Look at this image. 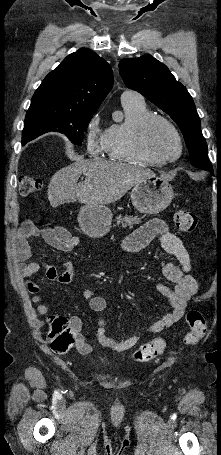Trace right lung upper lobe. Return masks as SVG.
Returning a JSON list of instances; mask_svg holds the SVG:
<instances>
[{"instance_id": "right-lung-upper-lobe-1", "label": "right lung upper lobe", "mask_w": 221, "mask_h": 455, "mask_svg": "<svg viewBox=\"0 0 221 455\" xmlns=\"http://www.w3.org/2000/svg\"><path fill=\"white\" fill-rule=\"evenodd\" d=\"M112 85L110 65L92 50L81 48L46 76L30 106L96 112Z\"/></svg>"}]
</instances>
